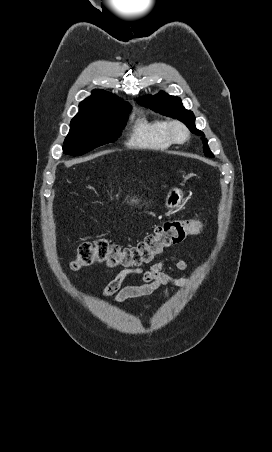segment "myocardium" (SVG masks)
I'll use <instances>...</instances> for the list:
<instances>
[{"label":"myocardium","instance_id":"obj_1","mask_svg":"<svg viewBox=\"0 0 272 452\" xmlns=\"http://www.w3.org/2000/svg\"><path fill=\"white\" fill-rule=\"evenodd\" d=\"M168 130L173 142L183 143L189 138L188 128L181 121L174 120L170 122Z\"/></svg>","mask_w":272,"mask_h":452}]
</instances>
